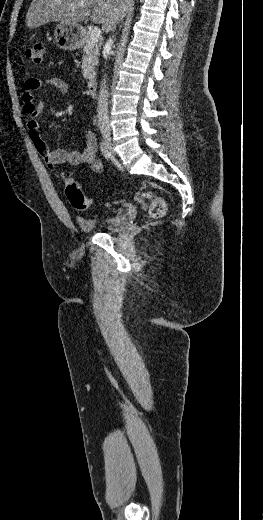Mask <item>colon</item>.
Segmentation results:
<instances>
[{"instance_id": "obj_1", "label": "colon", "mask_w": 263, "mask_h": 520, "mask_svg": "<svg viewBox=\"0 0 263 520\" xmlns=\"http://www.w3.org/2000/svg\"><path fill=\"white\" fill-rule=\"evenodd\" d=\"M26 56L35 63H41L44 55V45L42 42H35L25 51ZM65 194L69 203L77 210L88 209L92 200L82 191L79 183L70 175L64 176ZM142 199L148 202V213L153 218H160L165 215V202L151 191L143 193Z\"/></svg>"}]
</instances>
